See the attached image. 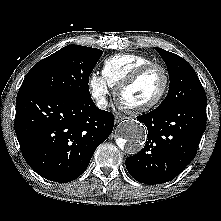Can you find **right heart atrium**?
<instances>
[{
    "mask_svg": "<svg viewBox=\"0 0 221 221\" xmlns=\"http://www.w3.org/2000/svg\"><path fill=\"white\" fill-rule=\"evenodd\" d=\"M89 88L90 93L96 104L104 108L108 103L109 84L106 82L103 76L93 72L89 76Z\"/></svg>",
    "mask_w": 221,
    "mask_h": 221,
    "instance_id": "obj_1",
    "label": "right heart atrium"
}]
</instances>
